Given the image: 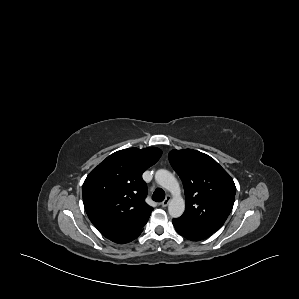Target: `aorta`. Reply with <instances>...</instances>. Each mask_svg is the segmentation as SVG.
<instances>
[{"label":"aorta","mask_w":299,"mask_h":299,"mask_svg":"<svg viewBox=\"0 0 299 299\" xmlns=\"http://www.w3.org/2000/svg\"><path fill=\"white\" fill-rule=\"evenodd\" d=\"M156 182L172 194L168 204V212L172 218L180 217L185 210V201L181 196V189L174 175L165 169L157 170L155 173Z\"/></svg>","instance_id":"1"}]
</instances>
